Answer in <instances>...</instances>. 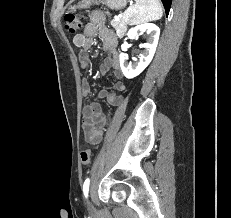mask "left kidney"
<instances>
[{
    "label": "left kidney",
    "instance_id": "left-kidney-1",
    "mask_svg": "<svg viewBox=\"0 0 231 218\" xmlns=\"http://www.w3.org/2000/svg\"><path fill=\"white\" fill-rule=\"evenodd\" d=\"M146 33L148 35L147 43L142 44L144 48L141 57L137 63L128 62V55L121 53L119 56L120 67L126 78H134L139 75L151 62L159 40L160 29L153 23H144L129 29L127 35L130 39Z\"/></svg>",
    "mask_w": 231,
    "mask_h": 218
}]
</instances>
